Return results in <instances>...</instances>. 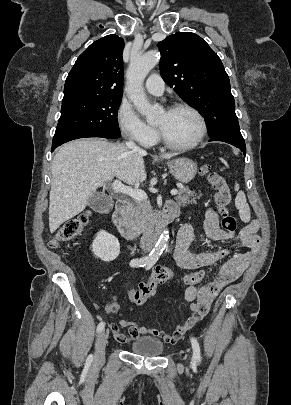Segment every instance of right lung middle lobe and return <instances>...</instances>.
Here are the masks:
<instances>
[{
	"label": "right lung middle lobe",
	"mask_w": 291,
	"mask_h": 405,
	"mask_svg": "<svg viewBox=\"0 0 291 405\" xmlns=\"http://www.w3.org/2000/svg\"><path fill=\"white\" fill-rule=\"evenodd\" d=\"M122 97L62 102L52 147L85 137L119 138L117 111Z\"/></svg>",
	"instance_id": "right-lung-middle-lobe-1"
}]
</instances>
